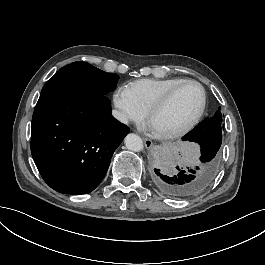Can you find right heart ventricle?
<instances>
[{
  "label": "right heart ventricle",
  "mask_w": 265,
  "mask_h": 265,
  "mask_svg": "<svg viewBox=\"0 0 265 265\" xmlns=\"http://www.w3.org/2000/svg\"><path fill=\"white\" fill-rule=\"evenodd\" d=\"M183 77L161 79H139L130 82L127 87L132 91L138 103L149 113L151 108Z\"/></svg>",
  "instance_id": "1"
}]
</instances>
